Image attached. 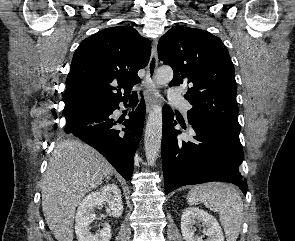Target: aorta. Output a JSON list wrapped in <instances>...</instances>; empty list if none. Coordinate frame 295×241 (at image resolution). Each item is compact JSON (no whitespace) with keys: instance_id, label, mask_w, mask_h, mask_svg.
I'll return each mask as SVG.
<instances>
[{"instance_id":"1","label":"aorta","mask_w":295,"mask_h":241,"mask_svg":"<svg viewBox=\"0 0 295 241\" xmlns=\"http://www.w3.org/2000/svg\"><path fill=\"white\" fill-rule=\"evenodd\" d=\"M172 79L173 70L169 66H161L155 74V82L158 86L166 85ZM162 125V107L155 104L149 113L144 137L145 154L150 165L154 164L160 152Z\"/></svg>"}]
</instances>
